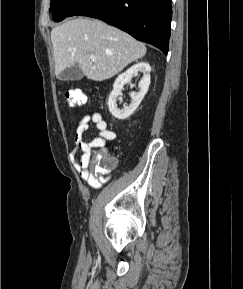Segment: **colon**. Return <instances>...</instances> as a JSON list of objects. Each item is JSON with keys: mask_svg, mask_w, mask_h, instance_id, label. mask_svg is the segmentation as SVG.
<instances>
[{"mask_svg": "<svg viewBox=\"0 0 243 289\" xmlns=\"http://www.w3.org/2000/svg\"><path fill=\"white\" fill-rule=\"evenodd\" d=\"M68 104L72 107L86 103L87 95L81 89H71L65 94ZM115 160L106 152L99 151L93 157L92 169L96 174H104L113 169Z\"/></svg>", "mask_w": 243, "mask_h": 289, "instance_id": "5ec220e1", "label": "colon"}]
</instances>
